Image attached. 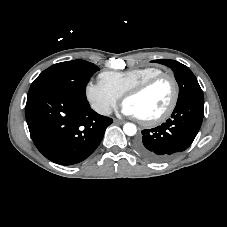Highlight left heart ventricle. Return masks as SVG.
<instances>
[{"instance_id": "left-heart-ventricle-1", "label": "left heart ventricle", "mask_w": 227, "mask_h": 227, "mask_svg": "<svg viewBox=\"0 0 227 227\" xmlns=\"http://www.w3.org/2000/svg\"><path fill=\"white\" fill-rule=\"evenodd\" d=\"M172 93L171 82L168 79H163L144 93L126 99L125 103L136 111L139 118L149 119L159 115L167 108Z\"/></svg>"}]
</instances>
